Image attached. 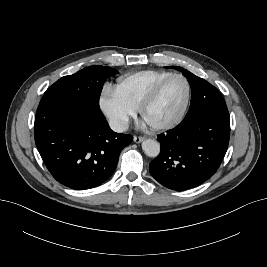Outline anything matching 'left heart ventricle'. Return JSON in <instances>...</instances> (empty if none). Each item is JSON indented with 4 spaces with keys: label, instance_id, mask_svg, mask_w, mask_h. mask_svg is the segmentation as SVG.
Segmentation results:
<instances>
[{
    "label": "left heart ventricle",
    "instance_id": "obj_1",
    "mask_svg": "<svg viewBox=\"0 0 267 267\" xmlns=\"http://www.w3.org/2000/svg\"><path fill=\"white\" fill-rule=\"evenodd\" d=\"M186 86L182 79L173 78L162 88L155 102L146 110L145 121L161 124L172 120L183 106Z\"/></svg>",
    "mask_w": 267,
    "mask_h": 267
}]
</instances>
